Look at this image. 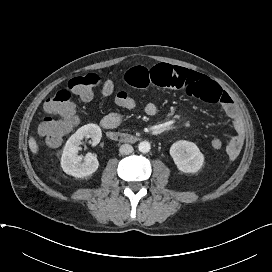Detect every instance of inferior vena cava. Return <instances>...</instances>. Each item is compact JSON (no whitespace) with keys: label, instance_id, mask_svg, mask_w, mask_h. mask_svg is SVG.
<instances>
[{"label":"inferior vena cava","instance_id":"inferior-vena-cava-1","mask_svg":"<svg viewBox=\"0 0 272 272\" xmlns=\"http://www.w3.org/2000/svg\"><path fill=\"white\" fill-rule=\"evenodd\" d=\"M119 152L122 154V155H127V154H130L133 152V147L129 144H123L121 145L120 149H119Z\"/></svg>","mask_w":272,"mask_h":272}]
</instances>
